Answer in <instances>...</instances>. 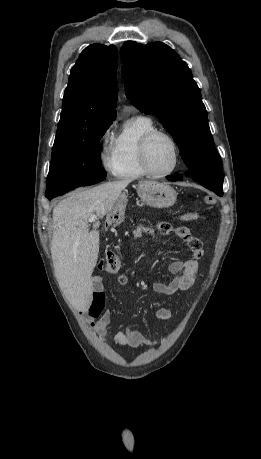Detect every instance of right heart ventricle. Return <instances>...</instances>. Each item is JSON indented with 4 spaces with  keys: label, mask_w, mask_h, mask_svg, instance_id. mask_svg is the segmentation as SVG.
<instances>
[{
    "label": "right heart ventricle",
    "mask_w": 261,
    "mask_h": 459,
    "mask_svg": "<svg viewBox=\"0 0 261 459\" xmlns=\"http://www.w3.org/2000/svg\"><path fill=\"white\" fill-rule=\"evenodd\" d=\"M156 126L149 117L139 116L127 124L112 144L116 162L115 175L122 179H134L146 175L139 155L140 141Z\"/></svg>",
    "instance_id": "obj_1"
}]
</instances>
